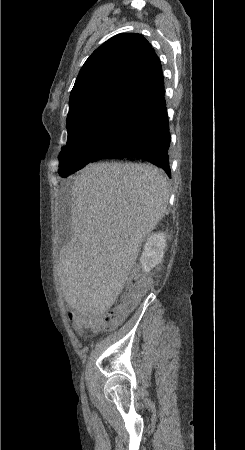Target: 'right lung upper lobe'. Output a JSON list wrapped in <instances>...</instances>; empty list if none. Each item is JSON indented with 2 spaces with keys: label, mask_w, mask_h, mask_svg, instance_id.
<instances>
[{
  "label": "right lung upper lobe",
  "mask_w": 245,
  "mask_h": 450,
  "mask_svg": "<svg viewBox=\"0 0 245 450\" xmlns=\"http://www.w3.org/2000/svg\"><path fill=\"white\" fill-rule=\"evenodd\" d=\"M159 58L139 34H118L86 60L70 94L68 118L97 104H117L136 111L164 94Z\"/></svg>",
  "instance_id": "obj_1"
}]
</instances>
